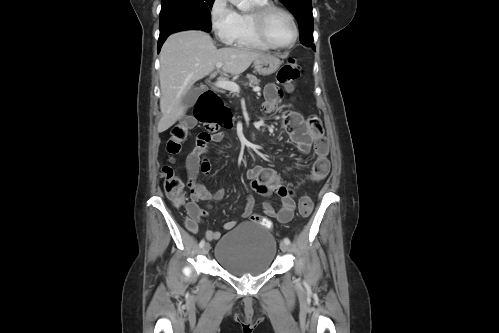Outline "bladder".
Returning <instances> with one entry per match:
<instances>
[{"label":"bladder","instance_id":"bladder-1","mask_svg":"<svg viewBox=\"0 0 499 333\" xmlns=\"http://www.w3.org/2000/svg\"><path fill=\"white\" fill-rule=\"evenodd\" d=\"M276 249L270 231L260 224L243 222L218 240L214 257L232 275L256 276L271 268Z\"/></svg>","mask_w":499,"mask_h":333}]
</instances>
